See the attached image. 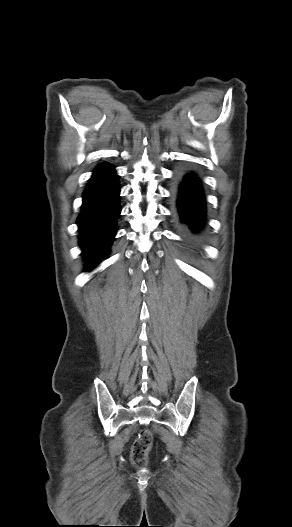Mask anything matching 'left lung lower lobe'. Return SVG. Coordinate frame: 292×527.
I'll return each instance as SVG.
<instances>
[{
	"mask_svg": "<svg viewBox=\"0 0 292 527\" xmlns=\"http://www.w3.org/2000/svg\"><path fill=\"white\" fill-rule=\"evenodd\" d=\"M178 191V208L182 221L193 230H198L204 222L205 206L203 192L194 174H181Z\"/></svg>",
	"mask_w": 292,
	"mask_h": 527,
	"instance_id": "0a47b994",
	"label": "left lung lower lobe"
}]
</instances>
